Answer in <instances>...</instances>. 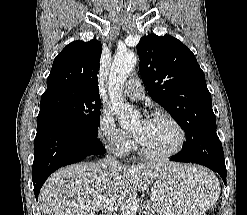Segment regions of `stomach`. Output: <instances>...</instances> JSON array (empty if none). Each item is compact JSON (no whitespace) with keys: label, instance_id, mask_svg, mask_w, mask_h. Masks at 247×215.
<instances>
[{"label":"stomach","instance_id":"0dacf381","mask_svg":"<svg viewBox=\"0 0 247 215\" xmlns=\"http://www.w3.org/2000/svg\"><path fill=\"white\" fill-rule=\"evenodd\" d=\"M219 183L205 168L180 165L153 182L150 203L158 215H205L217 199Z\"/></svg>","mask_w":247,"mask_h":215}]
</instances>
